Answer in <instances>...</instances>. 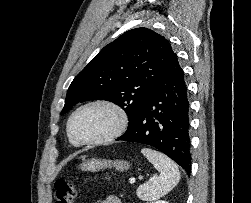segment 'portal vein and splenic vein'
<instances>
[{
  "mask_svg": "<svg viewBox=\"0 0 251 203\" xmlns=\"http://www.w3.org/2000/svg\"><path fill=\"white\" fill-rule=\"evenodd\" d=\"M135 182V178H130V183L133 184Z\"/></svg>",
  "mask_w": 251,
  "mask_h": 203,
  "instance_id": "18ae733b",
  "label": "portal vein and splenic vein"
}]
</instances>
